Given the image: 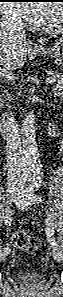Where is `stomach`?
I'll list each match as a JSON object with an SVG mask.
<instances>
[{
    "label": "stomach",
    "instance_id": "stomach-1",
    "mask_svg": "<svg viewBox=\"0 0 63 297\" xmlns=\"http://www.w3.org/2000/svg\"><path fill=\"white\" fill-rule=\"evenodd\" d=\"M38 53L44 56L51 57L54 62L63 67V41L60 40L49 48H40L37 50Z\"/></svg>",
    "mask_w": 63,
    "mask_h": 297
}]
</instances>
